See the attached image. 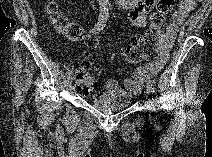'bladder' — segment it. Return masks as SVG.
Masks as SVG:
<instances>
[{
  "label": "bladder",
  "instance_id": "1",
  "mask_svg": "<svg viewBox=\"0 0 212 157\" xmlns=\"http://www.w3.org/2000/svg\"><path fill=\"white\" fill-rule=\"evenodd\" d=\"M132 100V94L119 89H111L94 95L91 104L97 110L112 111L128 107Z\"/></svg>",
  "mask_w": 212,
  "mask_h": 157
}]
</instances>
